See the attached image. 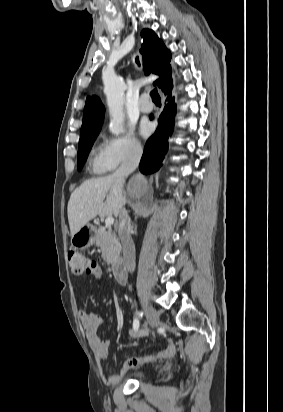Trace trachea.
Listing matches in <instances>:
<instances>
[{"instance_id":"1","label":"trachea","mask_w":283,"mask_h":412,"mask_svg":"<svg viewBox=\"0 0 283 412\" xmlns=\"http://www.w3.org/2000/svg\"><path fill=\"white\" fill-rule=\"evenodd\" d=\"M136 63H137L138 65H140V64H139V58H138V57L136 58ZM150 95H151V98H152V101H153V102H161V98H160V96H159L158 91H157L156 88L151 91Z\"/></svg>"}]
</instances>
